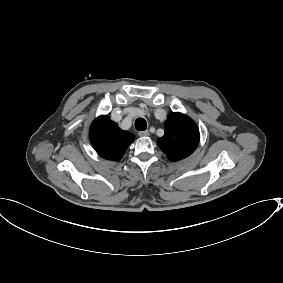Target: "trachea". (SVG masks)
Segmentation results:
<instances>
[{
  "instance_id": "trachea-1",
  "label": "trachea",
  "mask_w": 283,
  "mask_h": 283,
  "mask_svg": "<svg viewBox=\"0 0 283 283\" xmlns=\"http://www.w3.org/2000/svg\"><path fill=\"white\" fill-rule=\"evenodd\" d=\"M135 128L139 131H144L147 128V122L143 118H137L135 120Z\"/></svg>"
}]
</instances>
